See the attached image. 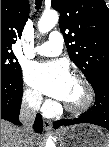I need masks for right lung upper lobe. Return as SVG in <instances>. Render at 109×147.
Returning <instances> with one entry per match:
<instances>
[{
    "mask_svg": "<svg viewBox=\"0 0 109 147\" xmlns=\"http://www.w3.org/2000/svg\"><path fill=\"white\" fill-rule=\"evenodd\" d=\"M28 0H1V48L11 49L28 19Z\"/></svg>",
    "mask_w": 109,
    "mask_h": 147,
    "instance_id": "1",
    "label": "right lung upper lobe"
}]
</instances>
